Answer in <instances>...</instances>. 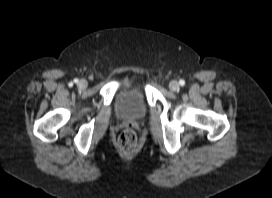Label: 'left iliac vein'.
I'll return each instance as SVG.
<instances>
[{
    "label": "left iliac vein",
    "instance_id": "1",
    "mask_svg": "<svg viewBox=\"0 0 272 198\" xmlns=\"http://www.w3.org/2000/svg\"><path fill=\"white\" fill-rule=\"evenodd\" d=\"M169 88L172 90V91H177L179 90L180 88V85L177 81L173 80L169 83Z\"/></svg>",
    "mask_w": 272,
    "mask_h": 198
}]
</instances>
